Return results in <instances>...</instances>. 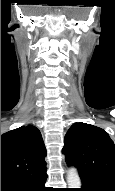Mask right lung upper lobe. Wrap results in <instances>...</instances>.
<instances>
[{"mask_svg": "<svg viewBox=\"0 0 115 191\" xmlns=\"http://www.w3.org/2000/svg\"><path fill=\"white\" fill-rule=\"evenodd\" d=\"M46 149L40 131L22 126L1 135V181H18L46 173Z\"/></svg>", "mask_w": 115, "mask_h": 191, "instance_id": "right-lung-upper-lobe-1", "label": "right lung upper lobe"}]
</instances>
